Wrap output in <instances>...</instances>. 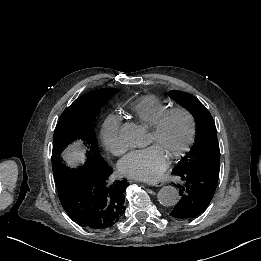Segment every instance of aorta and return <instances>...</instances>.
I'll use <instances>...</instances> for the list:
<instances>
[{
	"label": "aorta",
	"instance_id": "1",
	"mask_svg": "<svg viewBox=\"0 0 261 261\" xmlns=\"http://www.w3.org/2000/svg\"><path fill=\"white\" fill-rule=\"evenodd\" d=\"M120 139L131 147L142 145L145 137L144 129L132 122H126L121 126ZM158 201L161 205L170 207L174 206L180 198L178 190L173 186L162 187L157 194Z\"/></svg>",
	"mask_w": 261,
	"mask_h": 261
}]
</instances>
